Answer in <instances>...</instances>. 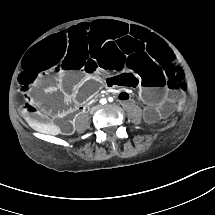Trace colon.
Segmentation results:
<instances>
[{"instance_id": "obj_1", "label": "colon", "mask_w": 215, "mask_h": 215, "mask_svg": "<svg viewBox=\"0 0 215 215\" xmlns=\"http://www.w3.org/2000/svg\"><path fill=\"white\" fill-rule=\"evenodd\" d=\"M35 102L37 104H39L40 106L42 105V103H40L39 101L35 100ZM37 104L25 103V104H21L20 107L25 114L31 115V114H34L38 111Z\"/></svg>"}]
</instances>
